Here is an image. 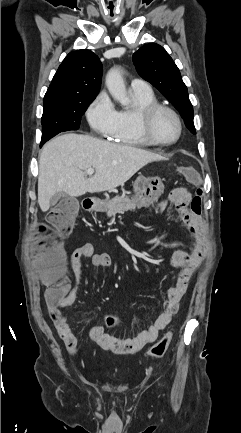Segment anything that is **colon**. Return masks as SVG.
<instances>
[{"label":"colon","mask_w":241,"mask_h":433,"mask_svg":"<svg viewBox=\"0 0 241 433\" xmlns=\"http://www.w3.org/2000/svg\"><path fill=\"white\" fill-rule=\"evenodd\" d=\"M182 177H187L194 183L200 182V177L196 175L193 168H182L180 171ZM202 190L199 188L192 201V210L196 213L201 211ZM72 214H79V205L77 200H57L55 210L49 217L50 222L55 226L60 234L69 232L72 226ZM45 230L41 229L36 232L37 240L34 244V255L38 264V269L43 281L48 286L45 297L49 305H56L59 301L67 297V284L63 274L65 258L63 252V243L60 239H49L45 236ZM187 275H180L177 280L178 287L185 289L189 282ZM104 324L106 327H122L119 318L104 315ZM172 332H167L162 338L155 343L148 351V356L153 359L162 358L167 352L171 341ZM123 340L124 338H120ZM112 349L116 351L123 350L126 344L122 341L109 342Z\"/></svg>","instance_id":"colon-1"}]
</instances>
